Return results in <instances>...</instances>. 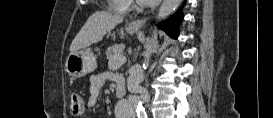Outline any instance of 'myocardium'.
<instances>
[{
    "label": "myocardium",
    "mask_w": 273,
    "mask_h": 118,
    "mask_svg": "<svg viewBox=\"0 0 273 118\" xmlns=\"http://www.w3.org/2000/svg\"><path fill=\"white\" fill-rule=\"evenodd\" d=\"M138 8H141V5H140V4H138Z\"/></svg>",
    "instance_id": "1"
}]
</instances>
